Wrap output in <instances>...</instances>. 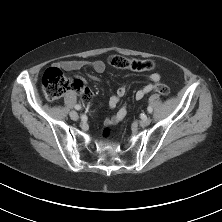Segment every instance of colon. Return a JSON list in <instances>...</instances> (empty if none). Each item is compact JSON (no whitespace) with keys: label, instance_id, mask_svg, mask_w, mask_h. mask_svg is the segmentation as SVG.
<instances>
[{"label":"colon","instance_id":"colon-1","mask_svg":"<svg viewBox=\"0 0 222 222\" xmlns=\"http://www.w3.org/2000/svg\"><path fill=\"white\" fill-rule=\"evenodd\" d=\"M108 64L117 69H130L133 71H148L154 68V63L151 60L128 58L118 54L111 55L108 58ZM73 85V81L57 67H50L43 73L42 89L49 100L60 98L71 90ZM153 91H157L162 95L169 93V89L165 85H155ZM110 132V128L106 127L103 131V136L108 137Z\"/></svg>","mask_w":222,"mask_h":222}]
</instances>
